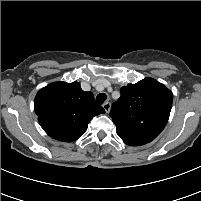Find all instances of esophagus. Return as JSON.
<instances>
[{
  "instance_id": "34e87169",
  "label": "esophagus",
  "mask_w": 201,
  "mask_h": 201,
  "mask_svg": "<svg viewBox=\"0 0 201 201\" xmlns=\"http://www.w3.org/2000/svg\"><path fill=\"white\" fill-rule=\"evenodd\" d=\"M103 108H104V110H105V112L106 113H109L110 112V109H111V104H110V102H105L104 104H103Z\"/></svg>"
}]
</instances>
